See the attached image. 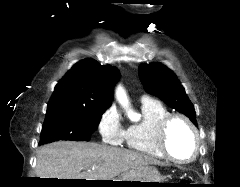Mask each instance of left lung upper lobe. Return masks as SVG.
<instances>
[{
  "label": "left lung upper lobe",
  "mask_w": 240,
  "mask_h": 187,
  "mask_svg": "<svg viewBox=\"0 0 240 187\" xmlns=\"http://www.w3.org/2000/svg\"><path fill=\"white\" fill-rule=\"evenodd\" d=\"M139 76L147 92L162 99L169 107L185 114L197 125L193 104L176 75L161 63L141 64Z\"/></svg>",
  "instance_id": "1"
}]
</instances>
